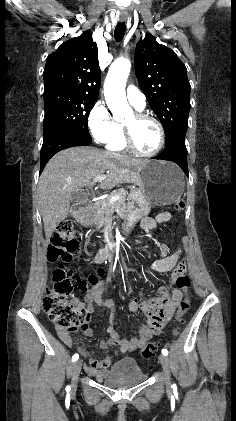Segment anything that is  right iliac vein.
Listing matches in <instances>:
<instances>
[{"label":"right iliac vein","instance_id":"63e3f726","mask_svg":"<svg viewBox=\"0 0 236 421\" xmlns=\"http://www.w3.org/2000/svg\"><path fill=\"white\" fill-rule=\"evenodd\" d=\"M81 362L76 361L72 365V386L75 388L77 385L78 377L81 371Z\"/></svg>","mask_w":236,"mask_h":421}]
</instances>
